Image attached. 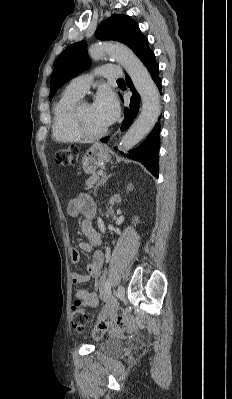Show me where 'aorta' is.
<instances>
[{
	"mask_svg": "<svg viewBox=\"0 0 232 399\" xmlns=\"http://www.w3.org/2000/svg\"><path fill=\"white\" fill-rule=\"evenodd\" d=\"M89 52L95 60L109 55L117 61L128 73L141 97V113L119 144L121 151H128L146 137L157 121L160 112L158 89L146 67L128 47L118 43L103 42L93 45Z\"/></svg>",
	"mask_w": 232,
	"mask_h": 399,
	"instance_id": "aorta-1",
	"label": "aorta"
}]
</instances>
